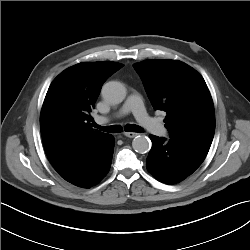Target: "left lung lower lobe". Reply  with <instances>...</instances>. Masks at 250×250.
<instances>
[{
  "label": "left lung lower lobe",
  "instance_id": "left-lung-lower-lobe-1",
  "mask_svg": "<svg viewBox=\"0 0 250 250\" xmlns=\"http://www.w3.org/2000/svg\"><path fill=\"white\" fill-rule=\"evenodd\" d=\"M147 169L161 182L174 184L191 175L205 159L212 141L149 135Z\"/></svg>",
  "mask_w": 250,
  "mask_h": 250
}]
</instances>
